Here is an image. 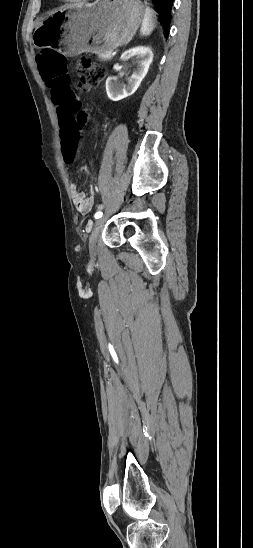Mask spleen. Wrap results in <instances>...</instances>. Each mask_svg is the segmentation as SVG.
<instances>
[{
  "instance_id": "1",
  "label": "spleen",
  "mask_w": 253,
  "mask_h": 548,
  "mask_svg": "<svg viewBox=\"0 0 253 548\" xmlns=\"http://www.w3.org/2000/svg\"><path fill=\"white\" fill-rule=\"evenodd\" d=\"M156 23V13L153 9L146 6L144 10V17L141 25V34L148 36L152 33Z\"/></svg>"
}]
</instances>
